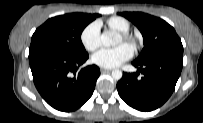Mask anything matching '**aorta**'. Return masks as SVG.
<instances>
[{"label":"aorta","instance_id":"762f6f07","mask_svg":"<svg viewBox=\"0 0 203 123\" xmlns=\"http://www.w3.org/2000/svg\"><path fill=\"white\" fill-rule=\"evenodd\" d=\"M101 42L105 47L113 46L119 42V35L112 31H104L101 35ZM122 75L123 73L119 69L112 71V78L114 80H120Z\"/></svg>","mask_w":203,"mask_h":123}]
</instances>
